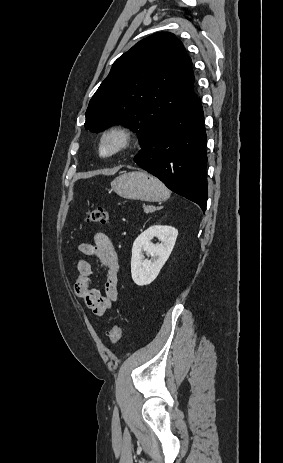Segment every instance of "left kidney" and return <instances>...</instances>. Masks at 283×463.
Returning a JSON list of instances; mask_svg holds the SVG:
<instances>
[{
  "label": "left kidney",
  "instance_id": "5707ae66",
  "mask_svg": "<svg viewBox=\"0 0 283 463\" xmlns=\"http://www.w3.org/2000/svg\"><path fill=\"white\" fill-rule=\"evenodd\" d=\"M177 236L178 230L172 226L154 225L136 238L131 258V275L136 285H148L156 279L174 248ZM154 237L161 243L153 244L151 240ZM143 251L151 256L150 260L144 259Z\"/></svg>",
  "mask_w": 283,
  "mask_h": 463
}]
</instances>
